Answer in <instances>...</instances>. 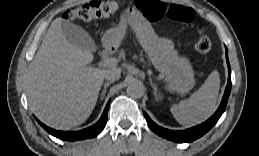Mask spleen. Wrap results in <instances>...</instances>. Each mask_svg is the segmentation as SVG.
Segmentation results:
<instances>
[{
	"mask_svg": "<svg viewBox=\"0 0 259 156\" xmlns=\"http://www.w3.org/2000/svg\"><path fill=\"white\" fill-rule=\"evenodd\" d=\"M219 87V73L214 70L189 99L172 105L170 108L172 115L184 126H192L205 121L216 110Z\"/></svg>",
	"mask_w": 259,
	"mask_h": 156,
	"instance_id": "1",
	"label": "spleen"
}]
</instances>
